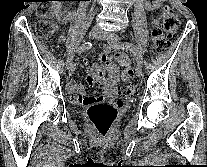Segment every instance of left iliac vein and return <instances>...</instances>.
<instances>
[{
    "label": "left iliac vein",
    "mask_w": 207,
    "mask_h": 167,
    "mask_svg": "<svg viewBox=\"0 0 207 167\" xmlns=\"http://www.w3.org/2000/svg\"><path fill=\"white\" fill-rule=\"evenodd\" d=\"M100 38L106 40L110 44V46H112V48H114V49L121 48V46H120L121 45V39L115 33H112V32L105 33L104 32V33H102V35L100 36ZM135 71H136V75L138 77H140L142 75V67H141V65L138 64L136 66V70Z\"/></svg>",
    "instance_id": "1"
}]
</instances>
